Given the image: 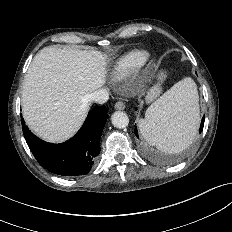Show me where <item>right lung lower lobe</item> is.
<instances>
[{"mask_svg": "<svg viewBox=\"0 0 232 232\" xmlns=\"http://www.w3.org/2000/svg\"><path fill=\"white\" fill-rule=\"evenodd\" d=\"M107 118L105 106L95 107L88 113L79 132L60 144L39 139L27 126H23V132L31 152L43 168L62 176L85 175L100 153V138Z\"/></svg>", "mask_w": 232, "mask_h": 232, "instance_id": "1", "label": "right lung lower lobe"}]
</instances>
